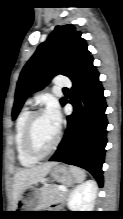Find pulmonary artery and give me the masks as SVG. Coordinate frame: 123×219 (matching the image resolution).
<instances>
[{
    "label": "pulmonary artery",
    "instance_id": "pulmonary-artery-1",
    "mask_svg": "<svg viewBox=\"0 0 123 219\" xmlns=\"http://www.w3.org/2000/svg\"><path fill=\"white\" fill-rule=\"evenodd\" d=\"M54 83L57 87L68 88L71 86V81L65 76H57L54 80Z\"/></svg>",
    "mask_w": 123,
    "mask_h": 219
}]
</instances>
